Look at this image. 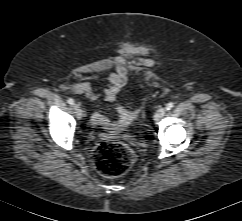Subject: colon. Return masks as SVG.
<instances>
[{
  "instance_id": "5ec220e1",
  "label": "colon",
  "mask_w": 242,
  "mask_h": 221,
  "mask_svg": "<svg viewBox=\"0 0 242 221\" xmlns=\"http://www.w3.org/2000/svg\"><path fill=\"white\" fill-rule=\"evenodd\" d=\"M94 163L101 175L117 178L130 170L134 156L129 147L123 143L103 142L95 148Z\"/></svg>"
}]
</instances>
